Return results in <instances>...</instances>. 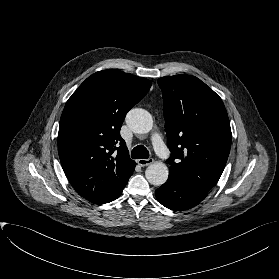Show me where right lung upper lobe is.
I'll list each match as a JSON object with an SVG mask.
<instances>
[{"label":"right lung upper lobe","mask_w":279,"mask_h":279,"mask_svg":"<svg viewBox=\"0 0 279 279\" xmlns=\"http://www.w3.org/2000/svg\"><path fill=\"white\" fill-rule=\"evenodd\" d=\"M151 81L108 69L88 77L61 115L58 152L72 187L94 204L116 195L136 163L120 129L127 112L149 91Z\"/></svg>","instance_id":"cb5924a9"}]
</instances>
